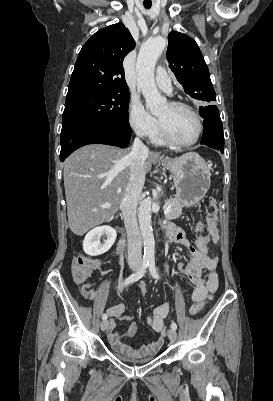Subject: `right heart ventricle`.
Wrapping results in <instances>:
<instances>
[{
	"instance_id": "right-heart-ventricle-1",
	"label": "right heart ventricle",
	"mask_w": 273,
	"mask_h": 401,
	"mask_svg": "<svg viewBox=\"0 0 273 401\" xmlns=\"http://www.w3.org/2000/svg\"><path fill=\"white\" fill-rule=\"evenodd\" d=\"M152 141L153 143H155L156 145H169L168 142H166L163 137L161 132L159 131V129H157V131L155 132V134L152 136Z\"/></svg>"
}]
</instances>
